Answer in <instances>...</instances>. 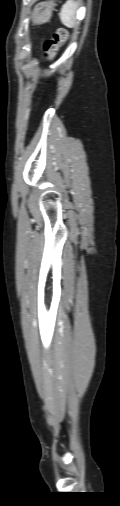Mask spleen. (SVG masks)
Returning <instances> with one entry per match:
<instances>
[{
    "mask_svg": "<svg viewBox=\"0 0 120 506\" xmlns=\"http://www.w3.org/2000/svg\"><path fill=\"white\" fill-rule=\"evenodd\" d=\"M77 10V3L73 0H68L62 7L60 12V19L63 25L69 28L75 27V13Z\"/></svg>",
    "mask_w": 120,
    "mask_h": 506,
    "instance_id": "3e777b00",
    "label": "spleen"
}]
</instances>
